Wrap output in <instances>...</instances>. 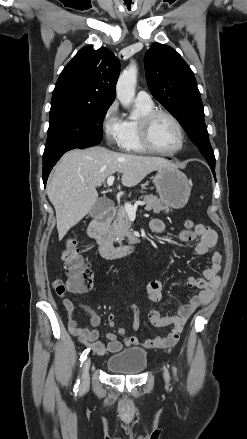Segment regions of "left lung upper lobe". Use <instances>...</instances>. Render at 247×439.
I'll list each match as a JSON object with an SVG mask.
<instances>
[{"instance_id":"left-lung-upper-lobe-1","label":"left lung upper lobe","mask_w":247,"mask_h":439,"mask_svg":"<svg viewBox=\"0 0 247 439\" xmlns=\"http://www.w3.org/2000/svg\"><path fill=\"white\" fill-rule=\"evenodd\" d=\"M150 92L183 126L210 167L215 156L204 122V109L190 67L171 47L154 43L144 58Z\"/></svg>"}]
</instances>
